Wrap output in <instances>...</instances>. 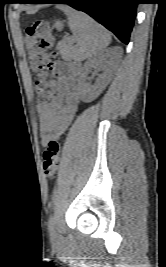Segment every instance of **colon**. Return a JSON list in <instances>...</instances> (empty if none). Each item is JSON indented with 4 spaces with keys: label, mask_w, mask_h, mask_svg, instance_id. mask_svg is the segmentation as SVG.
I'll return each instance as SVG.
<instances>
[{
    "label": "colon",
    "mask_w": 166,
    "mask_h": 267,
    "mask_svg": "<svg viewBox=\"0 0 166 267\" xmlns=\"http://www.w3.org/2000/svg\"><path fill=\"white\" fill-rule=\"evenodd\" d=\"M25 47L31 69L39 75L34 89L42 104L54 98V87L47 79L52 60L51 48L55 41V34L45 20H35L25 32ZM61 145L57 140H51L43 153V172L46 177L53 178L58 170Z\"/></svg>",
    "instance_id": "colon-1"
}]
</instances>
